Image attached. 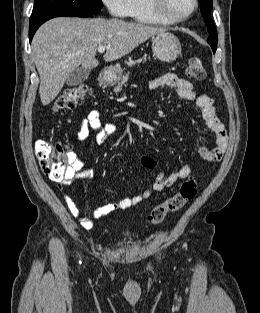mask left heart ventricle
Instances as JSON below:
<instances>
[{
  "label": "left heart ventricle",
  "mask_w": 260,
  "mask_h": 313,
  "mask_svg": "<svg viewBox=\"0 0 260 313\" xmlns=\"http://www.w3.org/2000/svg\"><path fill=\"white\" fill-rule=\"evenodd\" d=\"M193 0H163V8L166 14L178 17L191 10Z\"/></svg>",
  "instance_id": "obj_1"
}]
</instances>
